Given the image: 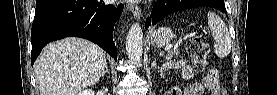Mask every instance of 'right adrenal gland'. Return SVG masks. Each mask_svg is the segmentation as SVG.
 <instances>
[{
	"label": "right adrenal gland",
	"mask_w": 277,
	"mask_h": 95,
	"mask_svg": "<svg viewBox=\"0 0 277 95\" xmlns=\"http://www.w3.org/2000/svg\"><path fill=\"white\" fill-rule=\"evenodd\" d=\"M110 74V71H109V69H108V66H106V69H105V71L103 72V74H102V77H104V75L105 74Z\"/></svg>",
	"instance_id": "right-adrenal-gland-1"
}]
</instances>
